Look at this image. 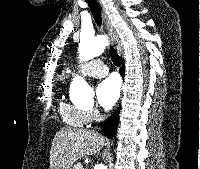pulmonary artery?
Masks as SVG:
<instances>
[{"label": "pulmonary artery", "mask_w": 200, "mask_h": 169, "mask_svg": "<svg viewBox=\"0 0 200 169\" xmlns=\"http://www.w3.org/2000/svg\"><path fill=\"white\" fill-rule=\"evenodd\" d=\"M79 73L84 76L101 78L108 74V68L101 59H93L79 67Z\"/></svg>", "instance_id": "pulmonary-artery-1"}]
</instances>
